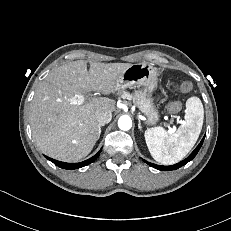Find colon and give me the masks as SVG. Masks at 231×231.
Returning <instances> with one entry per match:
<instances>
[{"instance_id":"5ec220e1","label":"colon","mask_w":231,"mask_h":231,"mask_svg":"<svg viewBox=\"0 0 231 231\" xmlns=\"http://www.w3.org/2000/svg\"><path fill=\"white\" fill-rule=\"evenodd\" d=\"M178 89L181 92H189L192 89V84L188 81H183L179 84ZM168 108L171 112H178L182 108V103L180 101H172L169 103Z\"/></svg>"}]
</instances>
